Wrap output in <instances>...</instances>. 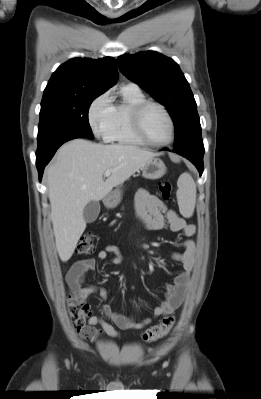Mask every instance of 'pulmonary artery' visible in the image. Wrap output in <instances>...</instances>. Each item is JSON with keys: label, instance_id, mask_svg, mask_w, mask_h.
Instances as JSON below:
<instances>
[{"label": "pulmonary artery", "instance_id": "1", "mask_svg": "<svg viewBox=\"0 0 261 399\" xmlns=\"http://www.w3.org/2000/svg\"><path fill=\"white\" fill-rule=\"evenodd\" d=\"M124 87L130 88V89H139L138 85L133 82L127 83Z\"/></svg>", "mask_w": 261, "mask_h": 399}]
</instances>
